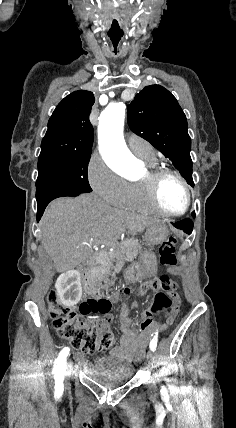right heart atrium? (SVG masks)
I'll return each mask as SVG.
<instances>
[{"mask_svg":"<svg viewBox=\"0 0 236 428\" xmlns=\"http://www.w3.org/2000/svg\"><path fill=\"white\" fill-rule=\"evenodd\" d=\"M88 181L98 198L106 200L107 206H123L129 184L99 156L89 162Z\"/></svg>","mask_w":236,"mask_h":428,"instance_id":"d8ad5b80","label":"right heart atrium"}]
</instances>
